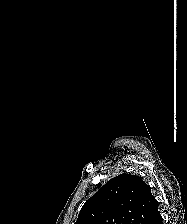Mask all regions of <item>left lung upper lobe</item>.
<instances>
[{
  "instance_id": "1",
  "label": "left lung upper lobe",
  "mask_w": 187,
  "mask_h": 224,
  "mask_svg": "<svg viewBox=\"0 0 187 224\" xmlns=\"http://www.w3.org/2000/svg\"><path fill=\"white\" fill-rule=\"evenodd\" d=\"M158 215L151 188L139 176L123 173L86 201L75 224H151Z\"/></svg>"
}]
</instances>
